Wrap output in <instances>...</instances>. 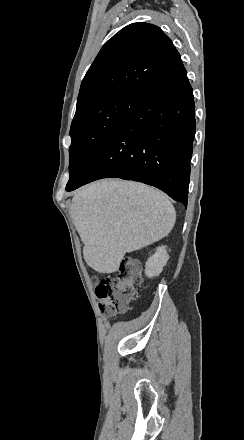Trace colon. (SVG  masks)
<instances>
[{"label": "colon", "mask_w": 244, "mask_h": 440, "mask_svg": "<svg viewBox=\"0 0 244 440\" xmlns=\"http://www.w3.org/2000/svg\"><path fill=\"white\" fill-rule=\"evenodd\" d=\"M89 281L95 284L98 278L92 275ZM141 281L139 265L134 260L123 261L113 276L102 278L95 288V296L104 314L115 316L125 312Z\"/></svg>", "instance_id": "1"}]
</instances>
